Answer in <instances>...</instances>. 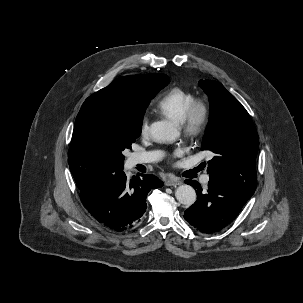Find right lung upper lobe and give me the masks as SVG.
I'll use <instances>...</instances> for the list:
<instances>
[{
	"mask_svg": "<svg viewBox=\"0 0 303 303\" xmlns=\"http://www.w3.org/2000/svg\"><path fill=\"white\" fill-rule=\"evenodd\" d=\"M168 77L164 74L130 75L117 78L106 88L99 90L86 99L83 105L94 100L115 99L129 103L142 102L151 98V94L160 80ZM169 78V77H168ZM68 163L89 171L90 177L102 173H112L106 169L101 156L80 139V126L75 121L71 145L68 151Z\"/></svg>",
	"mask_w": 303,
	"mask_h": 303,
	"instance_id": "cb5924a9",
	"label": "right lung upper lobe"
}]
</instances>
